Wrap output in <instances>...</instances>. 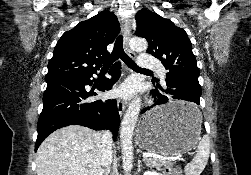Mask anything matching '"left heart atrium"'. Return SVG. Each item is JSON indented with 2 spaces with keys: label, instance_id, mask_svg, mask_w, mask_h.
I'll return each instance as SVG.
<instances>
[{
  "label": "left heart atrium",
  "instance_id": "obj_1",
  "mask_svg": "<svg viewBox=\"0 0 251 175\" xmlns=\"http://www.w3.org/2000/svg\"><path fill=\"white\" fill-rule=\"evenodd\" d=\"M138 85L133 82H126L116 89L115 93L122 97H128L138 90Z\"/></svg>",
  "mask_w": 251,
  "mask_h": 175
}]
</instances>
